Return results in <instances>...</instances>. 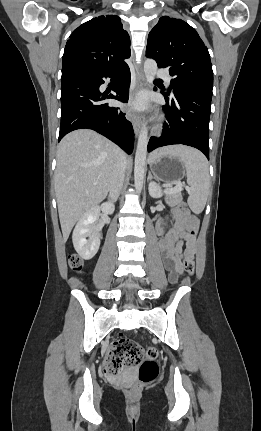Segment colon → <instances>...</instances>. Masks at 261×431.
Listing matches in <instances>:
<instances>
[{
	"label": "colon",
	"mask_w": 261,
	"mask_h": 431,
	"mask_svg": "<svg viewBox=\"0 0 261 431\" xmlns=\"http://www.w3.org/2000/svg\"><path fill=\"white\" fill-rule=\"evenodd\" d=\"M181 209H186V204H180ZM194 235L195 232L191 231ZM69 265L72 270L80 272L83 268V259L77 254L69 256ZM184 270L192 275L194 273V261L189 250L184 254ZM158 351L154 347H148L143 350L138 344L127 336L121 335L114 342L110 356L104 363V372L109 376H118L121 372L130 366H139L138 384L132 390L137 391L142 385L154 380L158 374V365L156 358Z\"/></svg>",
	"instance_id": "1"
}]
</instances>
